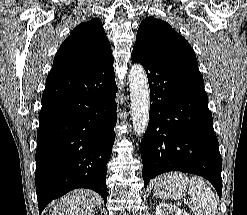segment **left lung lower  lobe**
Here are the masks:
<instances>
[{"label": "left lung lower lobe", "mask_w": 247, "mask_h": 215, "mask_svg": "<svg viewBox=\"0 0 247 215\" xmlns=\"http://www.w3.org/2000/svg\"><path fill=\"white\" fill-rule=\"evenodd\" d=\"M150 87V121L141 140L143 180L169 171L202 176L222 194V161L203 77L198 69L161 62L133 49Z\"/></svg>", "instance_id": "0a47b994"}]
</instances>
